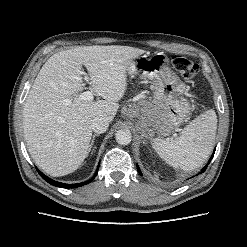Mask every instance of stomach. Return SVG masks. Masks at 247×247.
<instances>
[{"label": "stomach", "mask_w": 247, "mask_h": 247, "mask_svg": "<svg viewBox=\"0 0 247 247\" xmlns=\"http://www.w3.org/2000/svg\"><path fill=\"white\" fill-rule=\"evenodd\" d=\"M168 63L169 58L159 52L137 57L127 68L132 78L139 77L153 85L152 100H141L136 105V129L145 138L167 136L190 114V106L183 99L186 85L170 71Z\"/></svg>", "instance_id": "stomach-1"}]
</instances>
